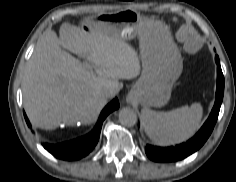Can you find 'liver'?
Instances as JSON below:
<instances>
[{
	"label": "liver",
	"mask_w": 236,
	"mask_h": 182,
	"mask_svg": "<svg viewBox=\"0 0 236 182\" xmlns=\"http://www.w3.org/2000/svg\"><path fill=\"white\" fill-rule=\"evenodd\" d=\"M140 68L135 49L111 35L107 22H98L89 31L64 23L59 38L53 31L41 36L25 67V111L36 127L47 130L61 124H91L107 103L101 91L109 89L115 96L121 89L118 80L136 78Z\"/></svg>",
	"instance_id": "6515ba94"
}]
</instances>
